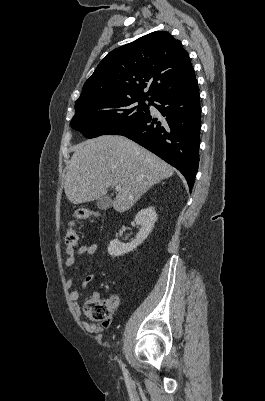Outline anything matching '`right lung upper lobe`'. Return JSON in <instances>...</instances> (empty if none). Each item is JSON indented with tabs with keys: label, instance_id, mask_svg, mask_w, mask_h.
<instances>
[{
	"label": "right lung upper lobe",
	"instance_id": "cb5924a9",
	"mask_svg": "<svg viewBox=\"0 0 265 401\" xmlns=\"http://www.w3.org/2000/svg\"><path fill=\"white\" fill-rule=\"evenodd\" d=\"M196 82L181 42L166 31H156L111 51L85 82L75 106L109 96L157 100Z\"/></svg>",
	"mask_w": 265,
	"mask_h": 401
}]
</instances>
